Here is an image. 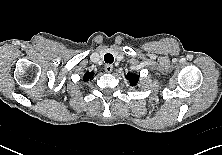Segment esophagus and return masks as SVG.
I'll return each mask as SVG.
<instances>
[{
	"label": "esophagus",
	"instance_id": "esophagus-1",
	"mask_svg": "<svg viewBox=\"0 0 222 155\" xmlns=\"http://www.w3.org/2000/svg\"><path fill=\"white\" fill-rule=\"evenodd\" d=\"M104 69H105V71H106L107 73H111L112 70H113V65H111V64H106L105 67H104Z\"/></svg>",
	"mask_w": 222,
	"mask_h": 155
}]
</instances>
